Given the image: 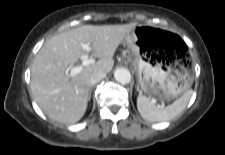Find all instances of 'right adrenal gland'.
Returning a JSON list of instances; mask_svg holds the SVG:
<instances>
[{"instance_id": "obj_1", "label": "right adrenal gland", "mask_w": 225, "mask_h": 155, "mask_svg": "<svg viewBox=\"0 0 225 155\" xmlns=\"http://www.w3.org/2000/svg\"><path fill=\"white\" fill-rule=\"evenodd\" d=\"M90 98H91V91H90V95H89V100H90Z\"/></svg>"}]
</instances>
